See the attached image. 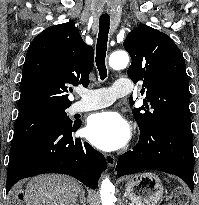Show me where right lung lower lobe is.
Wrapping results in <instances>:
<instances>
[{
  "instance_id": "1",
  "label": "right lung lower lobe",
  "mask_w": 199,
  "mask_h": 205,
  "mask_svg": "<svg viewBox=\"0 0 199 205\" xmlns=\"http://www.w3.org/2000/svg\"><path fill=\"white\" fill-rule=\"evenodd\" d=\"M80 126L74 123L11 145L6 193L20 179L44 173L67 174L92 189L97 188L100 173L107 168V163L87 142L72 137Z\"/></svg>"
}]
</instances>
